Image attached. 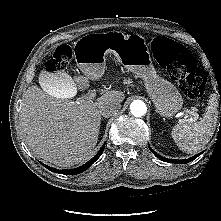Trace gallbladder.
Wrapping results in <instances>:
<instances>
[{
    "mask_svg": "<svg viewBox=\"0 0 221 221\" xmlns=\"http://www.w3.org/2000/svg\"><path fill=\"white\" fill-rule=\"evenodd\" d=\"M39 86L55 96L67 98L75 90L73 81L64 73L45 69L37 77Z\"/></svg>",
    "mask_w": 221,
    "mask_h": 221,
    "instance_id": "1",
    "label": "gallbladder"
}]
</instances>
